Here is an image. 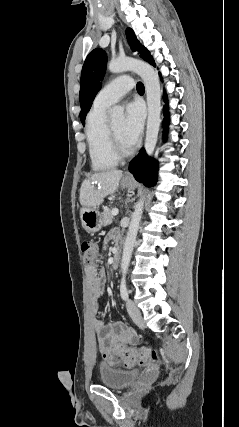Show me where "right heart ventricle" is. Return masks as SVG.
Masks as SVG:
<instances>
[{"label": "right heart ventricle", "mask_w": 239, "mask_h": 427, "mask_svg": "<svg viewBox=\"0 0 239 427\" xmlns=\"http://www.w3.org/2000/svg\"><path fill=\"white\" fill-rule=\"evenodd\" d=\"M107 108L108 106L94 104L86 120V139L89 155L92 167L96 171L112 168L118 162L110 146L106 120Z\"/></svg>", "instance_id": "1"}]
</instances>
